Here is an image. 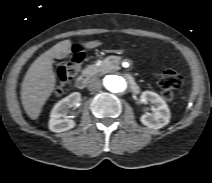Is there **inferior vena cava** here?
Segmentation results:
<instances>
[{
  "instance_id": "obj_1",
  "label": "inferior vena cava",
  "mask_w": 212,
  "mask_h": 183,
  "mask_svg": "<svg viewBox=\"0 0 212 183\" xmlns=\"http://www.w3.org/2000/svg\"><path fill=\"white\" fill-rule=\"evenodd\" d=\"M101 86V81L97 77H93L88 81V89L91 91L99 90Z\"/></svg>"
}]
</instances>
